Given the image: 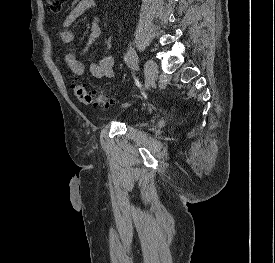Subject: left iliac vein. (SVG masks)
Segmentation results:
<instances>
[{
	"label": "left iliac vein",
	"mask_w": 275,
	"mask_h": 263,
	"mask_svg": "<svg viewBox=\"0 0 275 263\" xmlns=\"http://www.w3.org/2000/svg\"><path fill=\"white\" fill-rule=\"evenodd\" d=\"M144 73L146 76V87L152 86L157 78L158 66L153 59H148L144 65Z\"/></svg>",
	"instance_id": "obj_1"
}]
</instances>
